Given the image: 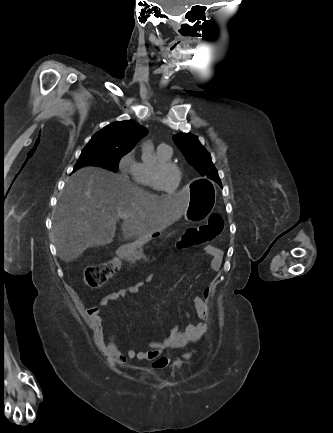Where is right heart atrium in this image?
<instances>
[{"label": "right heart atrium", "mask_w": 333, "mask_h": 433, "mask_svg": "<svg viewBox=\"0 0 333 433\" xmlns=\"http://www.w3.org/2000/svg\"><path fill=\"white\" fill-rule=\"evenodd\" d=\"M139 163L136 160L135 151L130 150L125 153L118 163V168L121 174L124 176H131L135 178L138 171Z\"/></svg>", "instance_id": "obj_1"}]
</instances>
